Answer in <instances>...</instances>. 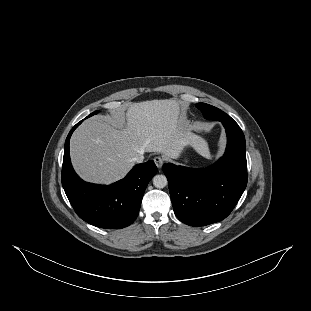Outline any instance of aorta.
I'll list each match as a JSON object with an SVG mask.
<instances>
[{
	"instance_id": "1",
	"label": "aorta",
	"mask_w": 311,
	"mask_h": 311,
	"mask_svg": "<svg viewBox=\"0 0 311 311\" xmlns=\"http://www.w3.org/2000/svg\"><path fill=\"white\" fill-rule=\"evenodd\" d=\"M168 184V180L165 175H155L153 177V185L156 188H164Z\"/></svg>"
}]
</instances>
